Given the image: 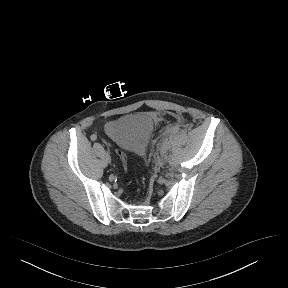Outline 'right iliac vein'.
<instances>
[{
	"mask_svg": "<svg viewBox=\"0 0 288 288\" xmlns=\"http://www.w3.org/2000/svg\"><path fill=\"white\" fill-rule=\"evenodd\" d=\"M106 158L109 162L111 161V156H110L109 152L106 153Z\"/></svg>",
	"mask_w": 288,
	"mask_h": 288,
	"instance_id": "obj_1",
	"label": "right iliac vein"
}]
</instances>
